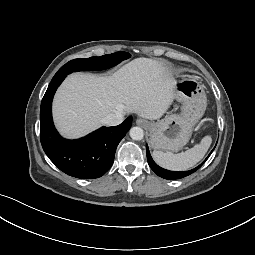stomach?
Listing matches in <instances>:
<instances>
[{
	"mask_svg": "<svg viewBox=\"0 0 255 255\" xmlns=\"http://www.w3.org/2000/svg\"><path fill=\"white\" fill-rule=\"evenodd\" d=\"M175 99L182 104L180 114L167 115L148 124L153 149L171 152L183 149L205 112L206 95L202 85L194 79H183L177 83Z\"/></svg>",
	"mask_w": 255,
	"mask_h": 255,
	"instance_id": "obj_1",
	"label": "stomach"
}]
</instances>
